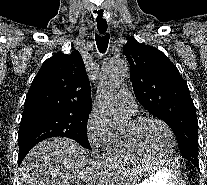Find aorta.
Returning a JSON list of instances; mask_svg holds the SVG:
<instances>
[{"mask_svg": "<svg viewBox=\"0 0 207 185\" xmlns=\"http://www.w3.org/2000/svg\"><path fill=\"white\" fill-rule=\"evenodd\" d=\"M128 69V62L117 58L105 63L100 72L97 107L109 125L117 130L124 128L129 119L117 102V91Z\"/></svg>", "mask_w": 207, "mask_h": 185, "instance_id": "obj_1", "label": "aorta"}]
</instances>
